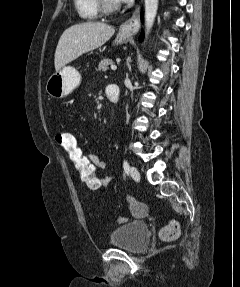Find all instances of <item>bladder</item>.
Instances as JSON below:
<instances>
[{"label":"bladder","mask_w":240,"mask_h":287,"mask_svg":"<svg viewBox=\"0 0 240 287\" xmlns=\"http://www.w3.org/2000/svg\"><path fill=\"white\" fill-rule=\"evenodd\" d=\"M150 240V229L146 222L134 220L112 231L109 244L130 253L144 251Z\"/></svg>","instance_id":"31cf9c89"}]
</instances>
